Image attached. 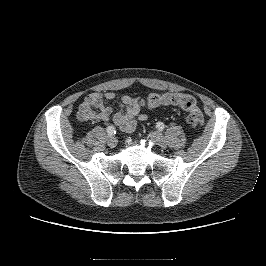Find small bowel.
Here are the masks:
<instances>
[{
    "mask_svg": "<svg viewBox=\"0 0 266 266\" xmlns=\"http://www.w3.org/2000/svg\"><path fill=\"white\" fill-rule=\"evenodd\" d=\"M116 99L112 91L92 92L88 94L78 109V119L82 122L112 120L124 131H134L139 122L147 119L142 112L141 99L130 95H123L120 98V107L114 111L111 107L105 106V101Z\"/></svg>",
    "mask_w": 266,
    "mask_h": 266,
    "instance_id": "c3829d8e",
    "label": "small bowel"
}]
</instances>
